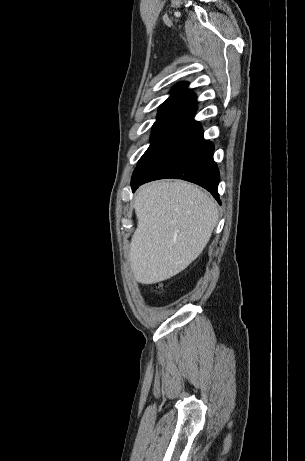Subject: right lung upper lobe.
<instances>
[{
	"mask_svg": "<svg viewBox=\"0 0 305 461\" xmlns=\"http://www.w3.org/2000/svg\"><path fill=\"white\" fill-rule=\"evenodd\" d=\"M196 105L195 94L189 92L187 84L184 82L177 84L171 92V96L164 102L161 107H179L190 109Z\"/></svg>",
	"mask_w": 305,
	"mask_h": 461,
	"instance_id": "1",
	"label": "right lung upper lobe"
}]
</instances>
